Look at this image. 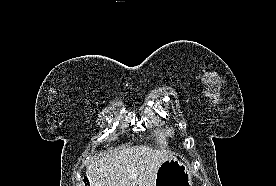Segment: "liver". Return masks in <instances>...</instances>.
Masks as SVG:
<instances>
[{
  "instance_id": "1",
  "label": "liver",
  "mask_w": 276,
  "mask_h": 186,
  "mask_svg": "<svg viewBox=\"0 0 276 186\" xmlns=\"http://www.w3.org/2000/svg\"><path fill=\"white\" fill-rule=\"evenodd\" d=\"M171 158L173 153L146 145L118 148L93 161L86 177L90 186H154L160 165Z\"/></svg>"
}]
</instances>
